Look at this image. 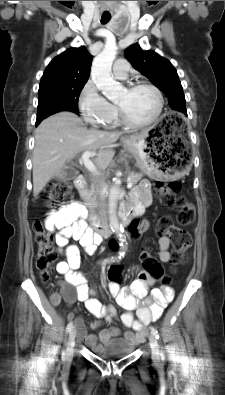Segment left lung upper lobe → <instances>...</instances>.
Segmentation results:
<instances>
[{"instance_id":"5c2ea615","label":"left lung upper lobe","mask_w":225,"mask_h":395,"mask_svg":"<svg viewBox=\"0 0 225 395\" xmlns=\"http://www.w3.org/2000/svg\"><path fill=\"white\" fill-rule=\"evenodd\" d=\"M132 66L167 96L170 108L187 115L186 100L178 74L169 60L154 51H144L138 43L125 50Z\"/></svg>"}]
</instances>
